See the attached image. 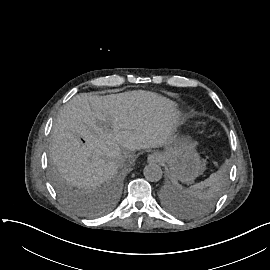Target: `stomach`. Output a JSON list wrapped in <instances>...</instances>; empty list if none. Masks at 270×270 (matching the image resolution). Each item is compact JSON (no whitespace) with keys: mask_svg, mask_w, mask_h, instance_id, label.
<instances>
[{"mask_svg":"<svg viewBox=\"0 0 270 270\" xmlns=\"http://www.w3.org/2000/svg\"><path fill=\"white\" fill-rule=\"evenodd\" d=\"M194 148L195 144L189 139L177 140L174 146H166L164 154H158L161 161H168L169 172L173 179L190 183L202 175L206 165L199 159Z\"/></svg>","mask_w":270,"mask_h":270,"instance_id":"stomach-1","label":"stomach"}]
</instances>
